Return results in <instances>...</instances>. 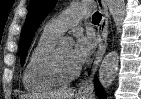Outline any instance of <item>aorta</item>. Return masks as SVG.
<instances>
[{"instance_id":"obj_1","label":"aorta","mask_w":141,"mask_h":99,"mask_svg":"<svg viewBox=\"0 0 141 99\" xmlns=\"http://www.w3.org/2000/svg\"><path fill=\"white\" fill-rule=\"evenodd\" d=\"M115 25L120 29L125 17V0H106ZM119 66V54L111 51L104 57L99 69V82L107 91L112 85Z\"/></svg>"}]
</instances>
